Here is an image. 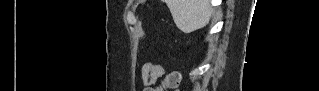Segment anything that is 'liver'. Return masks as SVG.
<instances>
[{"mask_svg":"<svg viewBox=\"0 0 319 91\" xmlns=\"http://www.w3.org/2000/svg\"><path fill=\"white\" fill-rule=\"evenodd\" d=\"M176 26L185 33L200 29L209 22V0H166Z\"/></svg>","mask_w":319,"mask_h":91,"instance_id":"obj_1","label":"liver"}]
</instances>
